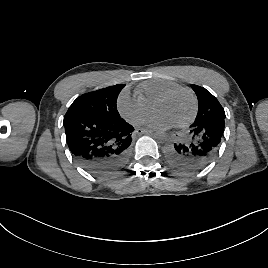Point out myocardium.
<instances>
[{
    "label": "myocardium",
    "mask_w": 268,
    "mask_h": 268,
    "mask_svg": "<svg viewBox=\"0 0 268 268\" xmlns=\"http://www.w3.org/2000/svg\"><path fill=\"white\" fill-rule=\"evenodd\" d=\"M180 92H184L186 94H188V96L190 97L191 101H192V112L189 115V117L187 119H185L184 121L176 124L175 126L178 128H184L187 127L188 125H190L195 117L197 116L198 113V100L196 95L194 94V92L188 88V87H183V86H178L175 87L169 91H167L165 94H163L154 104L153 110L156 113V108L158 107V105H160L161 103L169 100L170 98H172L173 96H175L176 94L180 93Z\"/></svg>",
    "instance_id": "f54148a6"
}]
</instances>
